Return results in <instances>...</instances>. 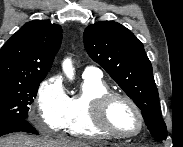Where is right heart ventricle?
I'll return each mask as SVG.
<instances>
[{
	"label": "right heart ventricle",
	"instance_id": "1",
	"mask_svg": "<svg viewBox=\"0 0 183 147\" xmlns=\"http://www.w3.org/2000/svg\"><path fill=\"white\" fill-rule=\"evenodd\" d=\"M109 92L102 80L84 78L79 93L68 97L67 116L64 129L72 136L101 138L109 134L99 129L92 119V102L98 96Z\"/></svg>",
	"mask_w": 183,
	"mask_h": 147
}]
</instances>
